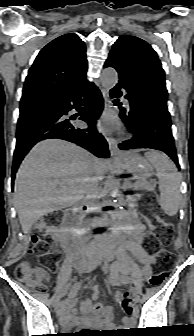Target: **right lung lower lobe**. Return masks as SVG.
Here are the masks:
<instances>
[{
  "mask_svg": "<svg viewBox=\"0 0 194 336\" xmlns=\"http://www.w3.org/2000/svg\"><path fill=\"white\" fill-rule=\"evenodd\" d=\"M74 108L80 111L79 119L88 123V129L79 128L75 118L65 117ZM102 110L103 98L100 91L94 84L85 80L54 100L20 111L13 156L12 191L19 164L29 150L41 140H67L86 148L97 157L108 158V144L95 128Z\"/></svg>",
  "mask_w": 194,
  "mask_h": 336,
  "instance_id": "1",
  "label": "right lung lower lobe"
}]
</instances>
